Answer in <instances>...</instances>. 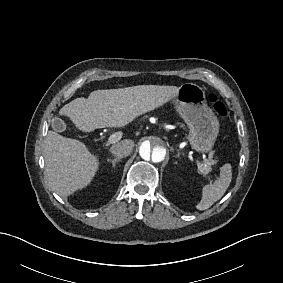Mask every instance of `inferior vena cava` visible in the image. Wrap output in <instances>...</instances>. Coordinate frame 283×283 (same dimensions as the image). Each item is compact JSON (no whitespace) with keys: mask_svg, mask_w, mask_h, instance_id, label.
<instances>
[{"mask_svg":"<svg viewBox=\"0 0 283 283\" xmlns=\"http://www.w3.org/2000/svg\"><path fill=\"white\" fill-rule=\"evenodd\" d=\"M134 143L131 140H123L120 143H117L111 147V152L116 155L118 158L130 155Z\"/></svg>","mask_w":283,"mask_h":283,"instance_id":"obj_1","label":"inferior vena cava"}]
</instances>
